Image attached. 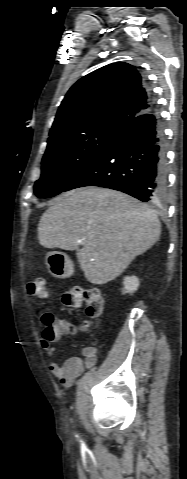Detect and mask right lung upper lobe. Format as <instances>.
Instances as JSON below:
<instances>
[{
    "label": "right lung upper lobe",
    "mask_w": 187,
    "mask_h": 479,
    "mask_svg": "<svg viewBox=\"0 0 187 479\" xmlns=\"http://www.w3.org/2000/svg\"><path fill=\"white\" fill-rule=\"evenodd\" d=\"M153 107L137 69L127 63L106 65L84 76L68 91L57 112L49 140L92 125L123 129Z\"/></svg>",
    "instance_id": "cb5924a9"
}]
</instances>
